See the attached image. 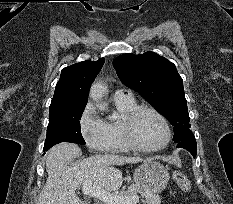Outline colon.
Listing matches in <instances>:
<instances>
[{
  "label": "colon",
  "instance_id": "5ec220e1",
  "mask_svg": "<svg viewBox=\"0 0 233 204\" xmlns=\"http://www.w3.org/2000/svg\"><path fill=\"white\" fill-rule=\"evenodd\" d=\"M173 179L178 184V186L180 187V189L183 192L188 193L191 191L190 182H189L188 178L186 177V175H184L182 172L174 171L173 172Z\"/></svg>",
  "mask_w": 233,
  "mask_h": 204
}]
</instances>
